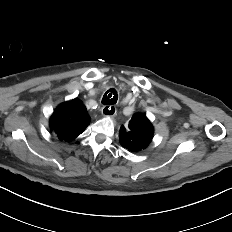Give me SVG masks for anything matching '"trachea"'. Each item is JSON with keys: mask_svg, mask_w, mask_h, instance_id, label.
<instances>
[{"mask_svg": "<svg viewBox=\"0 0 232 232\" xmlns=\"http://www.w3.org/2000/svg\"><path fill=\"white\" fill-rule=\"evenodd\" d=\"M118 100V94L115 89H109L106 91L102 98V103L107 104V105H113L117 102Z\"/></svg>", "mask_w": 232, "mask_h": 232, "instance_id": "1", "label": "trachea"}]
</instances>
